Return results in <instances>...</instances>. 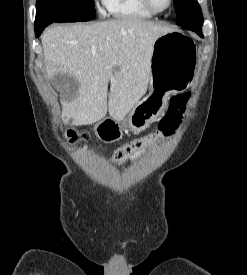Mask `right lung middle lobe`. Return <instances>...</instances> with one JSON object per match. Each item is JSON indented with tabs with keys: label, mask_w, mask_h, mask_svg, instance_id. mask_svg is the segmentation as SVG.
Wrapping results in <instances>:
<instances>
[{
	"label": "right lung middle lobe",
	"mask_w": 247,
	"mask_h": 275,
	"mask_svg": "<svg viewBox=\"0 0 247 275\" xmlns=\"http://www.w3.org/2000/svg\"><path fill=\"white\" fill-rule=\"evenodd\" d=\"M95 15L94 0H37L35 24L85 22Z\"/></svg>",
	"instance_id": "right-lung-middle-lobe-1"
}]
</instances>
